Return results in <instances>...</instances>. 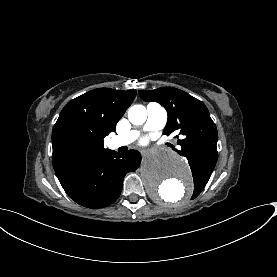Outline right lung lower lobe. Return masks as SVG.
Instances as JSON below:
<instances>
[{"instance_id": "98d812e1", "label": "right lung lower lobe", "mask_w": 277, "mask_h": 277, "mask_svg": "<svg viewBox=\"0 0 277 277\" xmlns=\"http://www.w3.org/2000/svg\"><path fill=\"white\" fill-rule=\"evenodd\" d=\"M141 156L134 150L97 155L58 177L63 189L76 203L102 208L114 203L122 191L124 176L135 171Z\"/></svg>"}]
</instances>
